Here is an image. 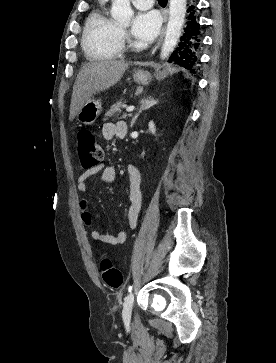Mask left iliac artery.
<instances>
[{"label":"left iliac artery","mask_w":276,"mask_h":363,"mask_svg":"<svg viewBox=\"0 0 276 363\" xmlns=\"http://www.w3.org/2000/svg\"><path fill=\"white\" fill-rule=\"evenodd\" d=\"M131 290H132V286H129L128 291L131 292Z\"/></svg>","instance_id":"1"}]
</instances>
